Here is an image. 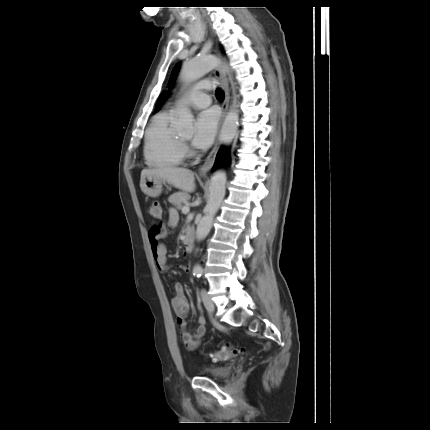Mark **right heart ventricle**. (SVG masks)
I'll list each match as a JSON object with an SVG mask.
<instances>
[{
  "label": "right heart ventricle",
  "instance_id": "obj_1",
  "mask_svg": "<svg viewBox=\"0 0 430 430\" xmlns=\"http://www.w3.org/2000/svg\"><path fill=\"white\" fill-rule=\"evenodd\" d=\"M173 110L155 115L144 136V159L149 167L168 168L182 163L183 152L178 135L172 128Z\"/></svg>",
  "mask_w": 430,
  "mask_h": 430
}]
</instances>
